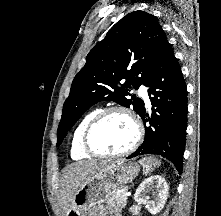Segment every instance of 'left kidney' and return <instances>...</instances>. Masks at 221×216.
Returning a JSON list of instances; mask_svg holds the SVG:
<instances>
[{"mask_svg": "<svg viewBox=\"0 0 221 216\" xmlns=\"http://www.w3.org/2000/svg\"><path fill=\"white\" fill-rule=\"evenodd\" d=\"M152 192L153 200L147 195ZM169 186L164 178L159 175H153L145 179L134 194V200L138 203H143L148 208V211L155 215L159 213L168 198Z\"/></svg>", "mask_w": 221, "mask_h": 216, "instance_id": "1", "label": "left kidney"}]
</instances>
